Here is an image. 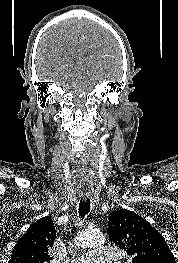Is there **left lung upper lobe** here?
<instances>
[{"label": "left lung upper lobe", "mask_w": 178, "mask_h": 263, "mask_svg": "<svg viewBox=\"0 0 178 263\" xmlns=\"http://www.w3.org/2000/svg\"><path fill=\"white\" fill-rule=\"evenodd\" d=\"M108 235L132 263H176L164 237L138 214L121 209L109 217Z\"/></svg>", "instance_id": "5c2ea615"}]
</instances>
